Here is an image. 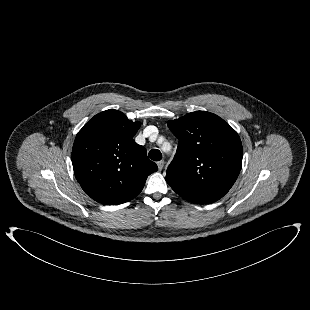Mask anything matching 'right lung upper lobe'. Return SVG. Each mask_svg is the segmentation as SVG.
<instances>
[{"label":"right lung upper lobe","instance_id":"1","mask_svg":"<svg viewBox=\"0 0 310 310\" xmlns=\"http://www.w3.org/2000/svg\"><path fill=\"white\" fill-rule=\"evenodd\" d=\"M140 122L109 109L95 115L78 132L72 149L74 174L93 200L116 205L135 198L148 175L158 170L133 137Z\"/></svg>","mask_w":310,"mask_h":310}]
</instances>
